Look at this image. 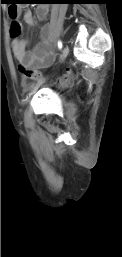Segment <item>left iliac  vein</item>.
Wrapping results in <instances>:
<instances>
[{
  "label": "left iliac vein",
  "mask_w": 122,
  "mask_h": 257,
  "mask_svg": "<svg viewBox=\"0 0 122 257\" xmlns=\"http://www.w3.org/2000/svg\"><path fill=\"white\" fill-rule=\"evenodd\" d=\"M69 54V47L68 46H65L64 49L62 50V53H61V56H60V59L61 61H63ZM44 82V80H41L39 81L32 89L31 93L30 94H33L38 88L39 86Z\"/></svg>",
  "instance_id": "left-iliac-vein-1"
}]
</instances>
